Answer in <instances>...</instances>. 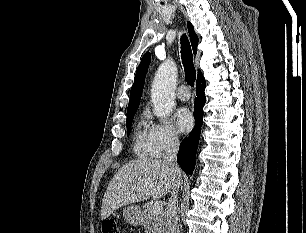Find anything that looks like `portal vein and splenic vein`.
I'll list each match as a JSON object with an SVG mask.
<instances>
[{
	"instance_id": "obj_1",
	"label": "portal vein and splenic vein",
	"mask_w": 306,
	"mask_h": 233,
	"mask_svg": "<svg viewBox=\"0 0 306 233\" xmlns=\"http://www.w3.org/2000/svg\"><path fill=\"white\" fill-rule=\"evenodd\" d=\"M152 208H153L154 212H158L161 209H163V203L161 201H156V202H154Z\"/></svg>"
}]
</instances>
